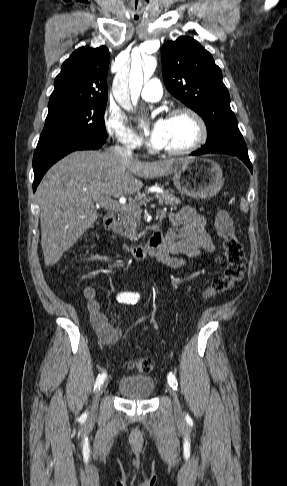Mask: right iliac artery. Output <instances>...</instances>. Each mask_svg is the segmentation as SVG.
I'll return each mask as SVG.
<instances>
[{"mask_svg":"<svg viewBox=\"0 0 287 486\" xmlns=\"http://www.w3.org/2000/svg\"><path fill=\"white\" fill-rule=\"evenodd\" d=\"M135 298L138 299L139 295L135 294V293H131V292H123V293L118 294V296H117V300L119 302H124V303H127L128 300L135 299ZM105 378H106V373L99 374L97 379H96L94 389L100 388V386L103 384Z\"/></svg>","mask_w":287,"mask_h":486,"instance_id":"1","label":"right iliac artery"}]
</instances>
